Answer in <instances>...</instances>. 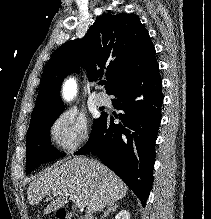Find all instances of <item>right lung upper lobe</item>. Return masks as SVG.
Listing matches in <instances>:
<instances>
[{
    "instance_id": "right-lung-upper-lobe-1",
    "label": "right lung upper lobe",
    "mask_w": 211,
    "mask_h": 219,
    "mask_svg": "<svg viewBox=\"0 0 211 219\" xmlns=\"http://www.w3.org/2000/svg\"><path fill=\"white\" fill-rule=\"evenodd\" d=\"M148 31L137 15L105 14L89 28L83 39L60 46L47 63L31 118L63 107V79L83 66L89 81L107 79L110 94L118 85L141 72L155 60Z\"/></svg>"
}]
</instances>
